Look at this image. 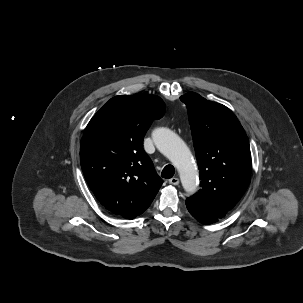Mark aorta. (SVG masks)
<instances>
[{"mask_svg": "<svg viewBox=\"0 0 303 303\" xmlns=\"http://www.w3.org/2000/svg\"><path fill=\"white\" fill-rule=\"evenodd\" d=\"M157 149L178 169L184 190L192 194L197 190L198 171L190 150L184 141L168 128H157L152 133Z\"/></svg>", "mask_w": 303, "mask_h": 303, "instance_id": "1", "label": "aorta"}]
</instances>
